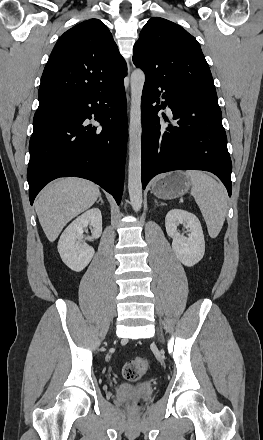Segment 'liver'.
<instances>
[{"label":"liver","instance_id":"6515ba94","mask_svg":"<svg viewBox=\"0 0 263 440\" xmlns=\"http://www.w3.org/2000/svg\"><path fill=\"white\" fill-rule=\"evenodd\" d=\"M99 196V187L85 179L63 178L49 184L35 202V210L47 239L55 241L65 225L90 208Z\"/></svg>","mask_w":263,"mask_h":440}]
</instances>
